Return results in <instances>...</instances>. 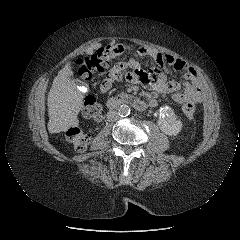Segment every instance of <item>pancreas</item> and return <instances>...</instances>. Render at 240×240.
Segmentation results:
<instances>
[{
    "label": "pancreas",
    "instance_id": "pancreas-1",
    "mask_svg": "<svg viewBox=\"0 0 240 240\" xmlns=\"http://www.w3.org/2000/svg\"><path fill=\"white\" fill-rule=\"evenodd\" d=\"M118 97H120V98L123 99V100H127V99H129L131 96L128 95V94H126V93H121V94L118 95Z\"/></svg>",
    "mask_w": 240,
    "mask_h": 240
}]
</instances>
